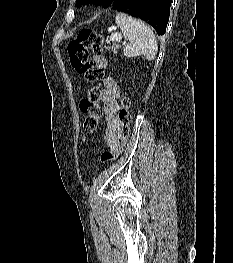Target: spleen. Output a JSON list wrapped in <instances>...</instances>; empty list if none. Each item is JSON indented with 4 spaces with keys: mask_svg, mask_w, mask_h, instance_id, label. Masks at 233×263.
I'll return each instance as SVG.
<instances>
[{
    "mask_svg": "<svg viewBox=\"0 0 233 263\" xmlns=\"http://www.w3.org/2000/svg\"><path fill=\"white\" fill-rule=\"evenodd\" d=\"M115 23L127 40L123 50L127 58L142 55L148 61L155 59L158 45L152 30L144 22L119 12L116 14Z\"/></svg>",
    "mask_w": 233,
    "mask_h": 263,
    "instance_id": "spleen-1",
    "label": "spleen"
}]
</instances>
